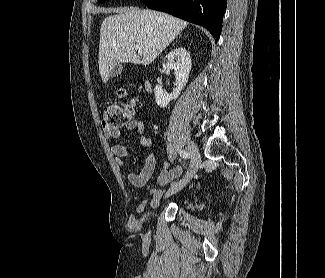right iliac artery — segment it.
Masks as SVG:
<instances>
[{
  "instance_id": "obj_1",
  "label": "right iliac artery",
  "mask_w": 325,
  "mask_h": 278,
  "mask_svg": "<svg viewBox=\"0 0 325 278\" xmlns=\"http://www.w3.org/2000/svg\"><path fill=\"white\" fill-rule=\"evenodd\" d=\"M179 154H180L181 157H183L185 159L189 158V153L187 151H185V150H180Z\"/></svg>"
}]
</instances>
